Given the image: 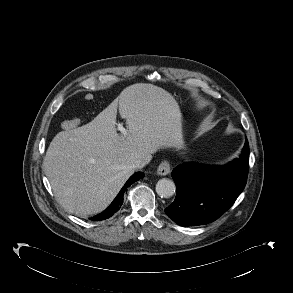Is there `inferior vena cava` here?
Listing matches in <instances>:
<instances>
[{"label":"inferior vena cava","mask_w":293,"mask_h":293,"mask_svg":"<svg viewBox=\"0 0 293 293\" xmlns=\"http://www.w3.org/2000/svg\"><path fill=\"white\" fill-rule=\"evenodd\" d=\"M151 158H152L151 154H148L145 157L139 158L134 162L133 167L135 169L143 168L146 164H148L151 161Z\"/></svg>","instance_id":"inferior-vena-cava-1"}]
</instances>
